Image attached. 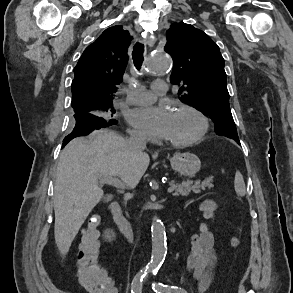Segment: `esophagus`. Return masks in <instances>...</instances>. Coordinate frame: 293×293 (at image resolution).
I'll use <instances>...</instances> for the list:
<instances>
[{
	"instance_id": "esophagus-1",
	"label": "esophagus",
	"mask_w": 293,
	"mask_h": 293,
	"mask_svg": "<svg viewBox=\"0 0 293 293\" xmlns=\"http://www.w3.org/2000/svg\"><path fill=\"white\" fill-rule=\"evenodd\" d=\"M141 42L144 43L147 47H152L155 43V40L152 38L141 39Z\"/></svg>"
}]
</instances>
